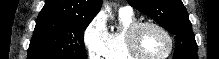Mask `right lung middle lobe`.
<instances>
[{"label":"right lung middle lobe","instance_id":"right-lung-middle-lobe-1","mask_svg":"<svg viewBox=\"0 0 219 59\" xmlns=\"http://www.w3.org/2000/svg\"><path fill=\"white\" fill-rule=\"evenodd\" d=\"M91 20L38 17L27 59H87L83 33Z\"/></svg>","mask_w":219,"mask_h":59}]
</instances>
